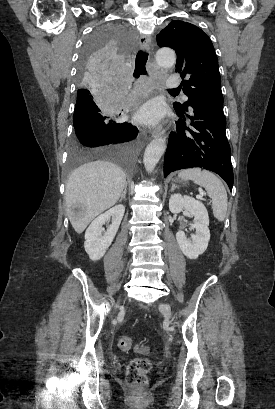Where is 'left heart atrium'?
Wrapping results in <instances>:
<instances>
[{
  "mask_svg": "<svg viewBox=\"0 0 275 409\" xmlns=\"http://www.w3.org/2000/svg\"><path fill=\"white\" fill-rule=\"evenodd\" d=\"M161 116V110L154 104L146 105L138 114L137 118L140 121L153 123Z\"/></svg>",
  "mask_w": 275,
  "mask_h": 409,
  "instance_id": "39dd6f15",
  "label": "left heart atrium"
}]
</instances>
